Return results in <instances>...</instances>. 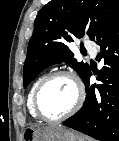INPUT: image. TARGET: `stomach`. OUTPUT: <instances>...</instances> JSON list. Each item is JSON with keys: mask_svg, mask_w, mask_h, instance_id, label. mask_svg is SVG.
<instances>
[{"mask_svg": "<svg viewBox=\"0 0 119 141\" xmlns=\"http://www.w3.org/2000/svg\"><path fill=\"white\" fill-rule=\"evenodd\" d=\"M23 141H86L76 131L59 126L34 128L28 127L23 132Z\"/></svg>", "mask_w": 119, "mask_h": 141, "instance_id": "stomach-1", "label": "stomach"}]
</instances>
